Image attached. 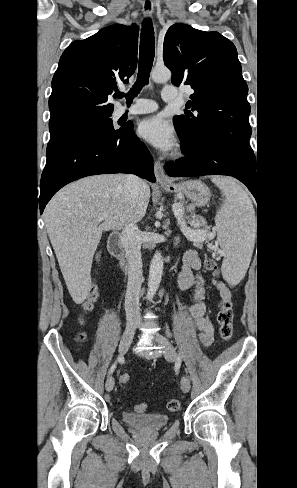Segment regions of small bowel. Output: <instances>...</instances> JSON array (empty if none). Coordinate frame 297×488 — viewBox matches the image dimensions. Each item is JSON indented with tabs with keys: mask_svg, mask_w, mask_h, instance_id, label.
Listing matches in <instances>:
<instances>
[{
	"mask_svg": "<svg viewBox=\"0 0 297 488\" xmlns=\"http://www.w3.org/2000/svg\"><path fill=\"white\" fill-rule=\"evenodd\" d=\"M202 262L196 250H187L178 270L177 283L182 290L191 289L194 303L186 307L194 326L201 331L199 336L204 346H209L214 338L213 318L207 310L205 297L211 288H215L221 300H231V291L227 285L215 278L207 282L201 274Z\"/></svg>",
	"mask_w": 297,
	"mask_h": 488,
	"instance_id": "obj_1",
	"label": "small bowel"
}]
</instances>
